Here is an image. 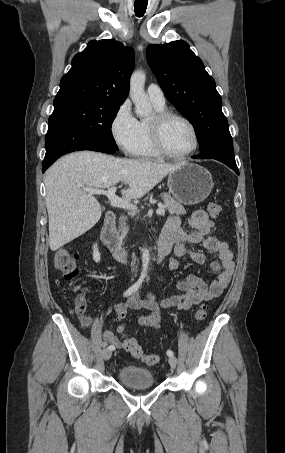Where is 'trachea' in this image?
I'll use <instances>...</instances> for the list:
<instances>
[{"mask_svg": "<svg viewBox=\"0 0 285 453\" xmlns=\"http://www.w3.org/2000/svg\"><path fill=\"white\" fill-rule=\"evenodd\" d=\"M147 8V0H135L134 11L137 17H142Z\"/></svg>", "mask_w": 285, "mask_h": 453, "instance_id": "trachea-1", "label": "trachea"}]
</instances>
